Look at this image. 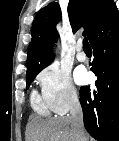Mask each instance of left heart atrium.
<instances>
[{"instance_id":"obj_1","label":"left heart atrium","mask_w":119,"mask_h":141,"mask_svg":"<svg viewBox=\"0 0 119 141\" xmlns=\"http://www.w3.org/2000/svg\"><path fill=\"white\" fill-rule=\"evenodd\" d=\"M75 78L80 84L86 83L88 80V73L84 68H79L75 72Z\"/></svg>"}]
</instances>
